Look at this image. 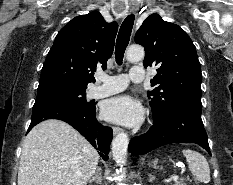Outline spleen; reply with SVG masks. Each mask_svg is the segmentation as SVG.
Returning <instances> with one entry per match:
<instances>
[{
    "instance_id": "obj_1",
    "label": "spleen",
    "mask_w": 233,
    "mask_h": 185,
    "mask_svg": "<svg viewBox=\"0 0 233 185\" xmlns=\"http://www.w3.org/2000/svg\"><path fill=\"white\" fill-rule=\"evenodd\" d=\"M183 155L188 162L189 170L194 174L196 179L203 183L210 182V168L206 158L197 151L184 149Z\"/></svg>"
}]
</instances>
